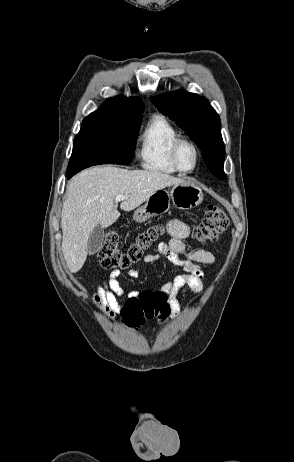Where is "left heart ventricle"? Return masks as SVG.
Wrapping results in <instances>:
<instances>
[{
	"instance_id": "1",
	"label": "left heart ventricle",
	"mask_w": 294,
	"mask_h": 462,
	"mask_svg": "<svg viewBox=\"0 0 294 462\" xmlns=\"http://www.w3.org/2000/svg\"><path fill=\"white\" fill-rule=\"evenodd\" d=\"M178 159L183 169H191L195 163V154L190 145L183 144L179 149Z\"/></svg>"
}]
</instances>
